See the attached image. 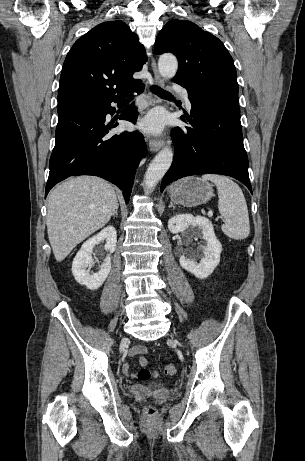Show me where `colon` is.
Listing matches in <instances>:
<instances>
[{"instance_id": "5ec220e1", "label": "colon", "mask_w": 305, "mask_h": 461, "mask_svg": "<svg viewBox=\"0 0 305 461\" xmlns=\"http://www.w3.org/2000/svg\"><path fill=\"white\" fill-rule=\"evenodd\" d=\"M164 373L168 376H173L177 373V368L174 364H168L164 367ZM137 377L142 382L149 381L151 379V372L148 369L143 368L139 370ZM145 412L148 416L152 417L155 415L156 410L153 406H148Z\"/></svg>"}]
</instances>
